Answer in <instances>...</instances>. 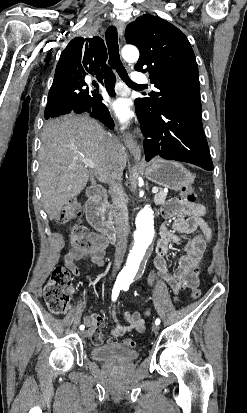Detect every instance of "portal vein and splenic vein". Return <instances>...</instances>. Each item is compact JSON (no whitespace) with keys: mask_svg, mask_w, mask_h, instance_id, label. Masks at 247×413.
Returning a JSON list of instances; mask_svg holds the SVG:
<instances>
[{"mask_svg":"<svg viewBox=\"0 0 247 413\" xmlns=\"http://www.w3.org/2000/svg\"><path fill=\"white\" fill-rule=\"evenodd\" d=\"M83 162L85 166H91V168H94L95 166V162H93V160H87V158H83ZM152 192H158L157 186H153Z\"/></svg>","mask_w":247,"mask_h":413,"instance_id":"obj_1","label":"portal vein and splenic vein"}]
</instances>
